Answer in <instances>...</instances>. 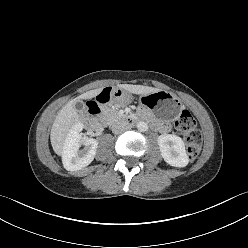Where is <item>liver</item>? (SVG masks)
<instances>
[{
	"mask_svg": "<svg viewBox=\"0 0 248 248\" xmlns=\"http://www.w3.org/2000/svg\"><path fill=\"white\" fill-rule=\"evenodd\" d=\"M119 88H122L129 93L137 94V95H148L157 91H160L158 88H153L149 86H143V85H131V84H120L118 85ZM102 91V88L90 90L86 93H83L79 97L70 100L58 113L56 116L54 123L51 128L50 133V140L51 145L54 150V152L57 155L63 154V148L64 143L66 140V137L72 127L79 122L80 116L77 113V109L75 107V104L80 99H91L93 97H96L100 92Z\"/></svg>",
	"mask_w": 248,
	"mask_h": 248,
	"instance_id": "liver-1",
	"label": "liver"
}]
</instances>
